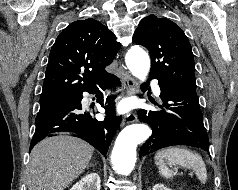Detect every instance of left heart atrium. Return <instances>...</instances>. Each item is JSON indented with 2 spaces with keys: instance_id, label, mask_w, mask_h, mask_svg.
Segmentation results:
<instances>
[{
  "instance_id": "1",
  "label": "left heart atrium",
  "mask_w": 238,
  "mask_h": 190,
  "mask_svg": "<svg viewBox=\"0 0 238 190\" xmlns=\"http://www.w3.org/2000/svg\"><path fill=\"white\" fill-rule=\"evenodd\" d=\"M129 109V104L126 101H123L122 103L119 104L118 110L121 113L126 112Z\"/></svg>"
}]
</instances>
